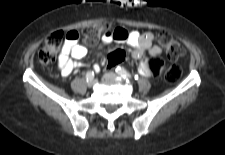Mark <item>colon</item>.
<instances>
[{
    "label": "colon",
    "instance_id": "5ec220e1",
    "mask_svg": "<svg viewBox=\"0 0 225 155\" xmlns=\"http://www.w3.org/2000/svg\"><path fill=\"white\" fill-rule=\"evenodd\" d=\"M112 30L113 29L110 24L100 22L86 26L83 28L81 33L82 38L86 43L93 44ZM64 40L66 41V33L63 31H56L46 38L38 52V60L41 65L46 66L55 60ZM158 42L163 47L170 60L175 61L183 55V48L180 43L174 40L168 33L159 34ZM123 61L124 53L114 49L109 54L107 69L109 71H116L118 69V63H122ZM147 66L150 69V75L152 78L159 79L163 75V78L167 83H176L182 76V70L178 65L174 64L166 67V62L162 58H149Z\"/></svg>",
    "mask_w": 225,
    "mask_h": 155
}]
</instances>
